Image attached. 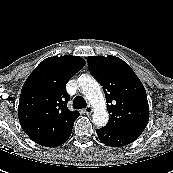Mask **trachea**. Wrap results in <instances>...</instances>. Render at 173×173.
I'll return each instance as SVG.
<instances>
[{"label": "trachea", "mask_w": 173, "mask_h": 173, "mask_svg": "<svg viewBox=\"0 0 173 173\" xmlns=\"http://www.w3.org/2000/svg\"><path fill=\"white\" fill-rule=\"evenodd\" d=\"M86 101L84 100L83 97L81 96H76L74 98V101H73V107L75 109H82V108H86Z\"/></svg>", "instance_id": "3493384b"}]
</instances>
